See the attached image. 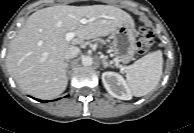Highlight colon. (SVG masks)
Instances as JSON below:
<instances>
[{"label": "colon", "mask_w": 194, "mask_h": 133, "mask_svg": "<svg viewBox=\"0 0 194 133\" xmlns=\"http://www.w3.org/2000/svg\"><path fill=\"white\" fill-rule=\"evenodd\" d=\"M140 39L137 42V50L140 54L147 53L153 44V33L145 26H140Z\"/></svg>", "instance_id": "colon-1"}]
</instances>
